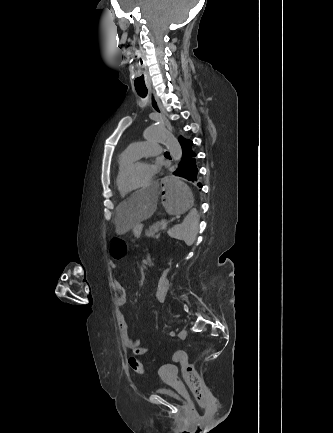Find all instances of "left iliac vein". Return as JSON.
Masks as SVG:
<instances>
[{"instance_id": "1", "label": "left iliac vein", "mask_w": 333, "mask_h": 433, "mask_svg": "<svg viewBox=\"0 0 333 433\" xmlns=\"http://www.w3.org/2000/svg\"><path fill=\"white\" fill-rule=\"evenodd\" d=\"M186 336H187V331L186 330H181L179 332V337L180 338L184 339V338H186Z\"/></svg>"}]
</instances>
